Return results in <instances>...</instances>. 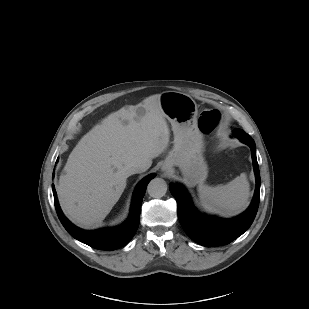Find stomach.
Wrapping results in <instances>:
<instances>
[{"label":"stomach","mask_w":309,"mask_h":309,"mask_svg":"<svg viewBox=\"0 0 309 309\" xmlns=\"http://www.w3.org/2000/svg\"><path fill=\"white\" fill-rule=\"evenodd\" d=\"M160 105L171 123L174 141L164 161L166 166H178L184 181L194 186L207 177V165L203 157V135L198 129V107L185 93L166 91L160 94Z\"/></svg>","instance_id":"obj_1"}]
</instances>
